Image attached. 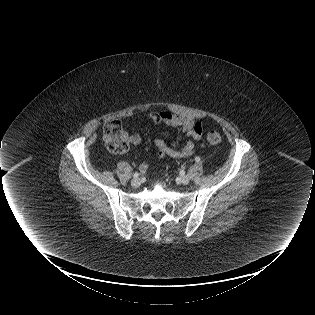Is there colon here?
Listing matches in <instances>:
<instances>
[{"mask_svg":"<svg viewBox=\"0 0 315 315\" xmlns=\"http://www.w3.org/2000/svg\"><path fill=\"white\" fill-rule=\"evenodd\" d=\"M103 139L107 149L114 154H124L128 151V136L117 120L110 121L104 126ZM207 141L212 145H218L222 142V137L217 131L212 130L207 134Z\"/></svg>","mask_w":315,"mask_h":315,"instance_id":"colon-1","label":"colon"}]
</instances>
